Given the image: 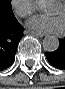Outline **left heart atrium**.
<instances>
[{"label": "left heart atrium", "instance_id": "obj_1", "mask_svg": "<svg viewBox=\"0 0 65 89\" xmlns=\"http://www.w3.org/2000/svg\"><path fill=\"white\" fill-rule=\"evenodd\" d=\"M29 30L40 34H60L65 29L64 18L60 15H36L26 22Z\"/></svg>", "mask_w": 65, "mask_h": 89}]
</instances>
